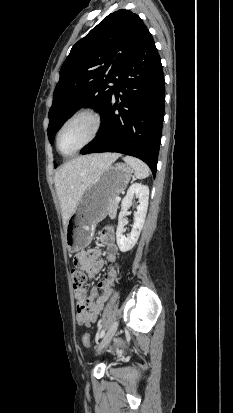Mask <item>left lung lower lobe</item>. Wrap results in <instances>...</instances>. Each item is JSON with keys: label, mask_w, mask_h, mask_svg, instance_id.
Here are the masks:
<instances>
[{"label": "left lung lower lobe", "mask_w": 233, "mask_h": 413, "mask_svg": "<svg viewBox=\"0 0 233 413\" xmlns=\"http://www.w3.org/2000/svg\"><path fill=\"white\" fill-rule=\"evenodd\" d=\"M165 105L161 60L147 31L116 82L100 134L81 154L118 152L143 160L156 175Z\"/></svg>", "instance_id": "1"}]
</instances>
